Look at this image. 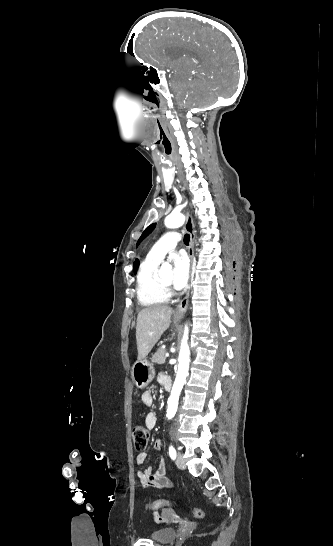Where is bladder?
Segmentation results:
<instances>
[{"label":"bladder","mask_w":333,"mask_h":546,"mask_svg":"<svg viewBox=\"0 0 333 546\" xmlns=\"http://www.w3.org/2000/svg\"><path fill=\"white\" fill-rule=\"evenodd\" d=\"M177 533L173 527H162L154 530L150 538L155 542L167 543L175 539Z\"/></svg>","instance_id":"31cf9c89"}]
</instances>
